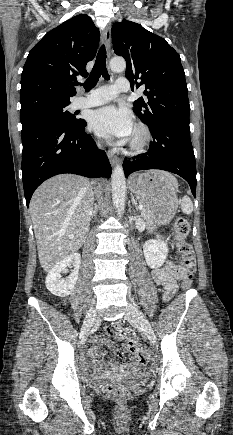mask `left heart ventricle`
<instances>
[{"mask_svg": "<svg viewBox=\"0 0 233 435\" xmlns=\"http://www.w3.org/2000/svg\"><path fill=\"white\" fill-rule=\"evenodd\" d=\"M135 135H134V133H132V136H131V138H133Z\"/></svg>", "mask_w": 233, "mask_h": 435, "instance_id": "left-heart-ventricle-1", "label": "left heart ventricle"}]
</instances>
